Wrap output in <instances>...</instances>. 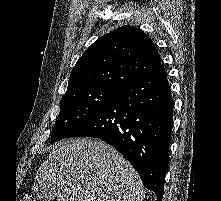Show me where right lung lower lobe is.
Masks as SVG:
<instances>
[{
	"label": "right lung lower lobe",
	"instance_id": "1",
	"mask_svg": "<svg viewBox=\"0 0 221 201\" xmlns=\"http://www.w3.org/2000/svg\"><path fill=\"white\" fill-rule=\"evenodd\" d=\"M173 106L166 72L160 65L119 89L67 137H94L111 144L132 164L157 201H162Z\"/></svg>",
	"mask_w": 221,
	"mask_h": 201
}]
</instances>
